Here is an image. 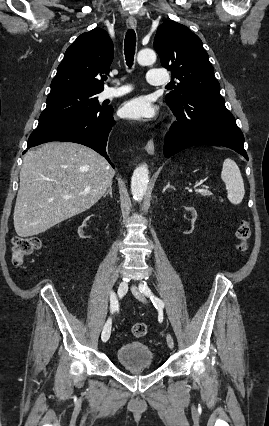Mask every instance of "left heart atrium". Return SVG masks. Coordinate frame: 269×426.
I'll list each match as a JSON object with an SVG mask.
<instances>
[{
	"label": "left heart atrium",
	"instance_id": "obj_1",
	"mask_svg": "<svg viewBox=\"0 0 269 426\" xmlns=\"http://www.w3.org/2000/svg\"><path fill=\"white\" fill-rule=\"evenodd\" d=\"M156 108L147 97H137L126 102L120 109L124 118L132 120H149L155 117Z\"/></svg>",
	"mask_w": 269,
	"mask_h": 426
}]
</instances>
